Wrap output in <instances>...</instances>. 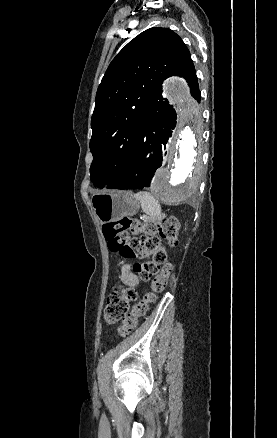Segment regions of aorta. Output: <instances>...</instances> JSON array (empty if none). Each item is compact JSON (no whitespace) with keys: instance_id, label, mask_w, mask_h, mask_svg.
I'll return each instance as SVG.
<instances>
[{"instance_id":"1","label":"aorta","mask_w":277,"mask_h":438,"mask_svg":"<svg viewBox=\"0 0 277 438\" xmlns=\"http://www.w3.org/2000/svg\"><path fill=\"white\" fill-rule=\"evenodd\" d=\"M168 88L178 108V126L169 143L166 166L156 172L151 189L165 203L176 204L191 197L199 185L201 121L185 81L174 79Z\"/></svg>"}]
</instances>
